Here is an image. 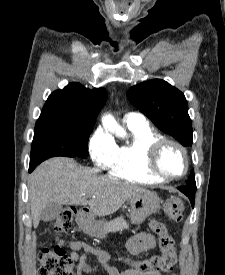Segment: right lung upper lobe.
<instances>
[{"instance_id": "right-lung-upper-lobe-1", "label": "right lung upper lobe", "mask_w": 225, "mask_h": 275, "mask_svg": "<svg viewBox=\"0 0 225 275\" xmlns=\"http://www.w3.org/2000/svg\"><path fill=\"white\" fill-rule=\"evenodd\" d=\"M106 99L107 92L103 88L90 90L79 83H70L49 96L38 120L70 119L95 123Z\"/></svg>"}]
</instances>
